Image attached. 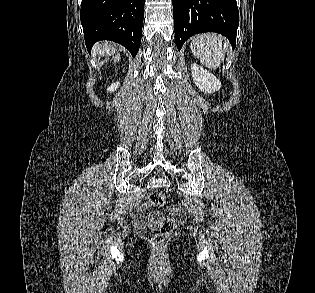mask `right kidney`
<instances>
[{
    "label": "right kidney",
    "instance_id": "obj_1",
    "mask_svg": "<svg viewBox=\"0 0 315 293\" xmlns=\"http://www.w3.org/2000/svg\"><path fill=\"white\" fill-rule=\"evenodd\" d=\"M119 85H120L119 82L113 83L111 86H109V87L107 88V91L113 92L114 90H116V89L119 87Z\"/></svg>",
    "mask_w": 315,
    "mask_h": 293
}]
</instances>
